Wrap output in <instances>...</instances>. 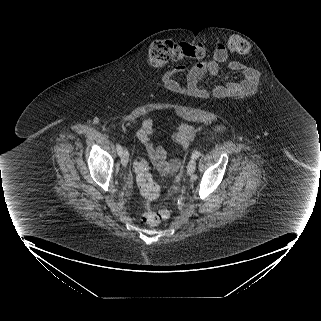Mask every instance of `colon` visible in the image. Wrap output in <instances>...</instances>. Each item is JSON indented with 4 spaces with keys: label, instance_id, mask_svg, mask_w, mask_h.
<instances>
[{
    "label": "colon",
    "instance_id": "colon-1",
    "mask_svg": "<svg viewBox=\"0 0 321 321\" xmlns=\"http://www.w3.org/2000/svg\"><path fill=\"white\" fill-rule=\"evenodd\" d=\"M224 44L231 52L239 55H245L250 50L247 40L236 35L226 37ZM206 54L207 48L202 44L170 40H157L149 46L147 51L150 64L156 68L165 67L171 62L199 60L204 58ZM134 171L144 199L142 221L148 226H156L165 220L169 213L165 210L154 211L150 208L151 202L159 195V188L149 172L147 161L143 158L137 159L134 163Z\"/></svg>",
    "mask_w": 321,
    "mask_h": 321
}]
</instances>
